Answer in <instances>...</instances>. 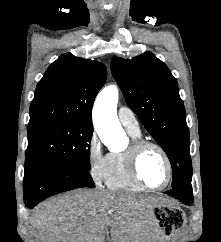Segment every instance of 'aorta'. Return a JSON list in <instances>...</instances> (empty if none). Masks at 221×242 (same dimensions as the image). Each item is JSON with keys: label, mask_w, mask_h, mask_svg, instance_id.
<instances>
[{"label": "aorta", "mask_w": 221, "mask_h": 242, "mask_svg": "<svg viewBox=\"0 0 221 242\" xmlns=\"http://www.w3.org/2000/svg\"><path fill=\"white\" fill-rule=\"evenodd\" d=\"M118 88L105 87L97 96L93 108V123L100 139L111 150L126 140V134L117 117Z\"/></svg>", "instance_id": "aorta-1"}]
</instances>
